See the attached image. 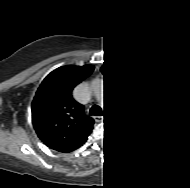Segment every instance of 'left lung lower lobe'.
I'll list each match as a JSON object with an SVG mask.
<instances>
[{
  "instance_id": "left-lung-lower-lobe-1",
  "label": "left lung lower lobe",
  "mask_w": 190,
  "mask_h": 188,
  "mask_svg": "<svg viewBox=\"0 0 190 188\" xmlns=\"http://www.w3.org/2000/svg\"><path fill=\"white\" fill-rule=\"evenodd\" d=\"M117 135L126 147L141 151L157 135V130L140 128L125 123L117 131Z\"/></svg>"
}]
</instances>
